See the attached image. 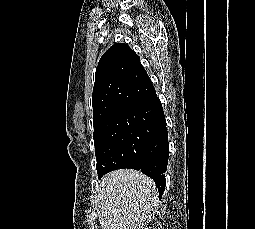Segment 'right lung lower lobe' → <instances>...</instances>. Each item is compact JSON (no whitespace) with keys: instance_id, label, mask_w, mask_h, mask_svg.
Wrapping results in <instances>:
<instances>
[{"instance_id":"right-lung-lower-lobe-1","label":"right lung lower lobe","mask_w":255,"mask_h":229,"mask_svg":"<svg viewBox=\"0 0 255 229\" xmlns=\"http://www.w3.org/2000/svg\"><path fill=\"white\" fill-rule=\"evenodd\" d=\"M127 114L141 119L153 131L139 163L129 168L140 170L151 177L159 192L165 189V171L169 158L168 133L162 104L155 94L153 97L125 110Z\"/></svg>"}]
</instances>
